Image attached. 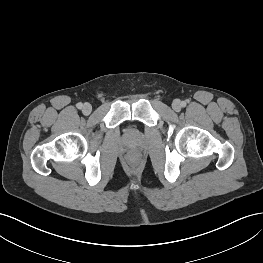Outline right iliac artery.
Listing matches in <instances>:
<instances>
[{
  "label": "right iliac artery",
  "instance_id": "1",
  "mask_svg": "<svg viewBox=\"0 0 263 263\" xmlns=\"http://www.w3.org/2000/svg\"><path fill=\"white\" fill-rule=\"evenodd\" d=\"M76 106H77L78 109H82L83 104L80 102V103H78Z\"/></svg>",
  "mask_w": 263,
  "mask_h": 263
}]
</instances>
